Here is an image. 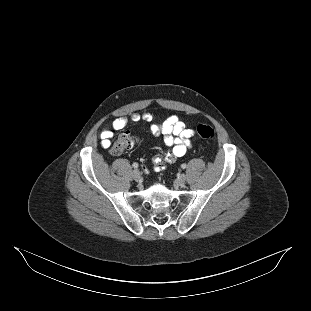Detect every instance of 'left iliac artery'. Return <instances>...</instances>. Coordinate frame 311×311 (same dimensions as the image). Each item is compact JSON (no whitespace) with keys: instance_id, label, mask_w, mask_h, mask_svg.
<instances>
[{"instance_id":"44dca946","label":"left iliac artery","mask_w":311,"mask_h":311,"mask_svg":"<svg viewBox=\"0 0 311 311\" xmlns=\"http://www.w3.org/2000/svg\"><path fill=\"white\" fill-rule=\"evenodd\" d=\"M186 167H187V165L184 164V163L181 165V168H182V169H185Z\"/></svg>"}]
</instances>
